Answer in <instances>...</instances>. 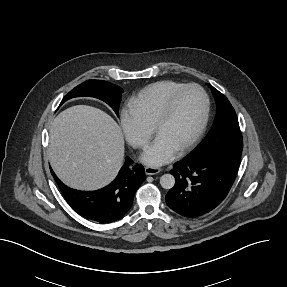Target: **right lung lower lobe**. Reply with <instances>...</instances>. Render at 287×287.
I'll return each mask as SVG.
<instances>
[{
  "mask_svg": "<svg viewBox=\"0 0 287 287\" xmlns=\"http://www.w3.org/2000/svg\"><path fill=\"white\" fill-rule=\"evenodd\" d=\"M126 162L116 179L97 191H78L64 185L51 171L68 204L81 216L100 224L112 223L122 218L131 208L134 195L145 180L142 165Z\"/></svg>",
  "mask_w": 287,
  "mask_h": 287,
  "instance_id": "1",
  "label": "right lung lower lobe"
}]
</instances>
